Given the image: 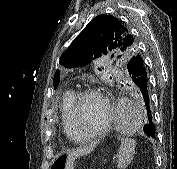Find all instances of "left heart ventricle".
Listing matches in <instances>:
<instances>
[{
  "mask_svg": "<svg viewBox=\"0 0 177 169\" xmlns=\"http://www.w3.org/2000/svg\"><path fill=\"white\" fill-rule=\"evenodd\" d=\"M105 118V107L97 97L84 98L78 109V134L87 135L97 131Z\"/></svg>",
  "mask_w": 177,
  "mask_h": 169,
  "instance_id": "left-heart-ventricle-1",
  "label": "left heart ventricle"
}]
</instances>
